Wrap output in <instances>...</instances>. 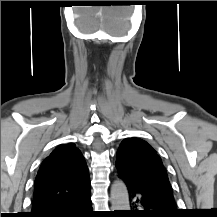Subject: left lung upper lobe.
<instances>
[{
  "label": "left lung upper lobe",
  "mask_w": 217,
  "mask_h": 217,
  "mask_svg": "<svg viewBox=\"0 0 217 217\" xmlns=\"http://www.w3.org/2000/svg\"><path fill=\"white\" fill-rule=\"evenodd\" d=\"M116 168L128 188L164 197L175 204L166 168L146 141L124 139L117 151Z\"/></svg>",
  "instance_id": "5c2ea615"
}]
</instances>
